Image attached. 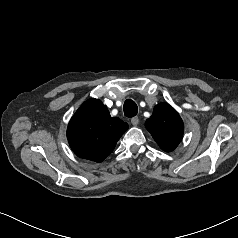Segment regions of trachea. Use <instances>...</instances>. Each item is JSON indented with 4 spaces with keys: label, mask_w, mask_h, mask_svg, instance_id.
Wrapping results in <instances>:
<instances>
[{
    "label": "trachea",
    "mask_w": 238,
    "mask_h": 238,
    "mask_svg": "<svg viewBox=\"0 0 238 238\" xmlns=\"http://www.w3.org/2000/svg\"><path fill=\"white\" fill-rule=\"evenodd\" d=\"M123 110L126 117H134L138 113V107L131 99L124 102Z\"/></svg>",
    "instance_id": "trachea-1"
}]
</instances>
